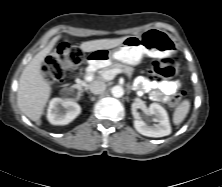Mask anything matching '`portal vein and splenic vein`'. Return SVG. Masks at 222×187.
Segmentation results:
<instances>
[{
  "mask_svg": "<svg viewBox=\"0 0 222 187\" xmlns=\"http://www.w3.org/2000/svg\"><path fill=\"white\" fill-rule=\"evenodd\" d=\"M120 73H121V70H119V69H112V70L105 71V72L102 74V77H103V79L109 81V80L114 79V77H115L117 74H120Z\"/></svg>",
  "mask_w": 222,
  "mask_h": 187,
  "instance_id": "obj_1",
  "label": "portal vein and splenic vein"
}]
</instances>
